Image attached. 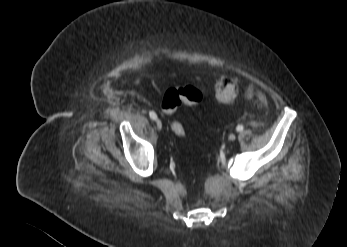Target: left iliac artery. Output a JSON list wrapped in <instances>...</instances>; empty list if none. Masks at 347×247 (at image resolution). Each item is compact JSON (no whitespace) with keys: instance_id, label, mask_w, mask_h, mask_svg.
Returning a JSON list of instances; mask_svg holds the SVG:
<instances>
[{"instance_id":"left-iliac-artery-1","label":"left iliac artery","mask_w":347,"mask_h":247,"mask_svg":"<svg viewBox=\"0 0 347 247\" xmlns=\"http://www.w3.org/2000/svg\"><path fill=\"white\" fill-rule=\"evenodd\" d=\"M236 130H237L238 132H242V131H243V126H242V125H238V126L236 127Z\"/></svg>"}]
</instances>
